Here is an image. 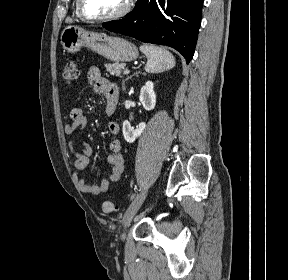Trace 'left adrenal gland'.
Here are the masks:
<instances>
[{"label": "left adrenal gland", "instance_id": "a2214340", "mask_svg": "<svg viewBox=\"0 0 288 280\" xmlns=\"http://www.w3.org/2000/svg\"><path fill=\"white\" fill-rule=\"evenodd\" d=\"M138 74H142L141 72H135L133 75L127 77L126 79L123 80L122 82V89L125 91V82L128 81L129 79H131L132 77L138 75ZM144 74V73H143Z\"/></svg>", "mask_w": 288, "mask_h": 280}]
</instances>
